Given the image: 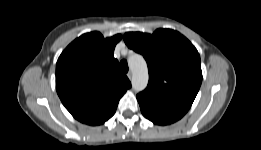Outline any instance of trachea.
Listing matches in <instances>:
<instances>
[{
  "label": "trachea",
  "instance_id": "trachea-1",
  "mask_svg": "<svg viewBox=\"0 0 261 150\" xmlns=\"http://www.w3.org/2000/svg\"><path fill=\"white\" fill-rule=\"evenodd\" d=\"M120 68L123 72L127 73L129 68H128V64H127V61L126 60H122L120 62Z\"/></svg>",
  "mask_w": 261,
  "mask_h": 150
}]
</instances>
